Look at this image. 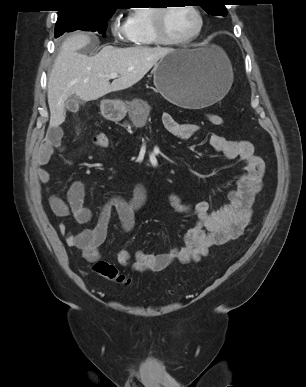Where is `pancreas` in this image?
<instances>
[{"label": "pancreas", "instance_id": "obj_1", "mask_svg": "<svg viewBox=\"0 0 306 387\" xmlns=\"http://www.w3.org/2000/svg\"><path fill=\"white\" fill-rule=\"evenodd\" d=\"M131 105H139L141 107L140 109V112L138 111H131L130 113V117L135 120L137 119V116L139 115V117H141L140 121H141V124L140 125H143L147 119V116H148V111H149V107H148V104L146 101H143V100H139V99H136L134 101H132Z\"/></svg>", "mask_w": 306, "mask_h": 387}]
</instances>
